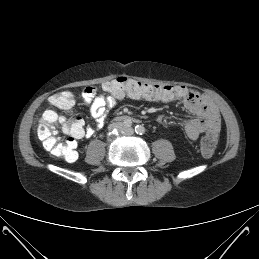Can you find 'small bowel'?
<instances>
[{"mask_svg":"<svg viewBox=\"0 0 259 259\" xmlns=\"http://www.w3.org/2000/svg\"><path fill=\"white\" fill-rule=\"evenodd\" d=\"M168 89L165 94L158 98H148L147 100L168 103L180 100L188 112L194 115L193 118L184 122V131L191 140H196L201 134H215L220 130V116L216 106L208 99L201 95L197 90L185 86H166ZM97 89L93 86L86 87L83 91L82 98L85 104L90 105V112L97 122V126H103L109 109L123 98L130 97L138 99V97L129 94H109L96 96ZM51 99V97H50ZM49 99V100H50ZM51 103V102H50ZM71 102L65 107L66 110L71 109ZM164 116L157 118L159 123L163 122ZM93 127L83 128L79 138H90L94 135Z\"/></svg>","mask_w":259,"mask_h":259,"instance_id":"small-bowel-1","label":"small bowel"}]
</instances>
